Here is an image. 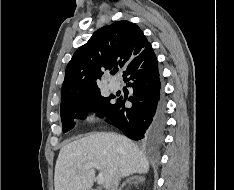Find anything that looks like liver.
Returning <instances> with one entry per match:
<instances>
[{
    "label": "liver",
    "instance_id": "6515ba94",
    "mask_svg": "<svg viewBox=\"0 0 234 190\" xmlns=\"http://www.w3.org/2000/svg\"><path fill=\"white\" fill-rule=\"evenodd\" d=\"M88 163H98L108 188L114 176L147 173L149 162L137 145L116 133H93L63 146L54 175L55 190H91L95 171L85 170Z\"/></svg>",
    "mask_w": 234,
    "mask_h": 190
}]
</instances>
